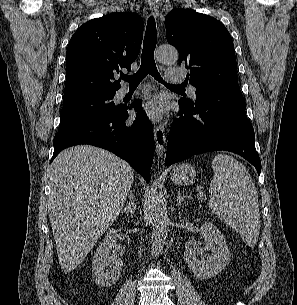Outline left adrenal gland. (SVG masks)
I'll use <instances>...</instances> for the list:
<instances>
[{
    "mask_svg": "<svg viewBox=\"0 0 297 305\" xmlns=\"http://www.w3.org/2000/svg\"><path fill=\"white\" fill-rule=\"evenodd\" d=\"M186 197H188V196H186V195L182 196L181 192L179 191L178 196H177L176 206H180Z\"/></svg>",
    "mask_w": 297,
    "mask_h": 305,
    "instance_id": "a2214340",
    "label": "left adrenal gland"
}]
</instances>
